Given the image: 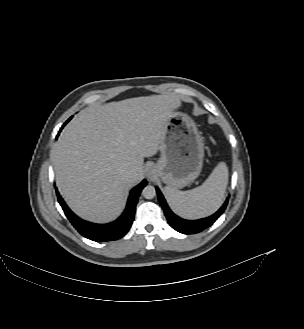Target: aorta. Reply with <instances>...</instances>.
Returning <instances> with one entry per match:
<instances>
[{"label":"aorta","mask_w":304,"mask_h":329,"mask_svg":"<svg viewBox=\"0 0 304 329\" xmlns=\"http://www.w3.org/2000/svg\"><path fill=\"white\" fill-rule=\"evenodd\" d=\"M142 195L146 199H152L156 195V190H155V188L153 186L147 185L142 190Z\"/></svg>","instance_id":"762f6f07"}]
</instances>
